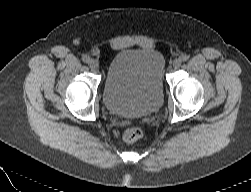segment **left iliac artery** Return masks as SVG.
Instances as JSON below:
<instances>
[{"mask_svg": "<svg viewBox=\"0 0 251 192\" xmlns=\"http://www.w3.org/2000/svg\"><path fill=\"white\" fill-rule=\"evenodd\" d=\"M189 59V56L188 55H182L181 57H180V60L181 61H183V62H185V61H187Z\"/></svg>", "mask_w": 251, "mask_h": 192, "instance_id": "1", "label": "left iliac artery"}]
</instances>
